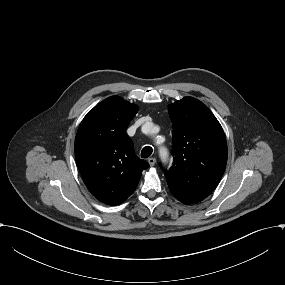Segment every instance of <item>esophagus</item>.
I'll return each instance as SVG.
<instances>
[{
    "instance_id": "1",
    "label": "esophagus",
    "mask_w": 285,
    "mask_h": 285,
    "mask_svg": "<svg viewBox=\"0 0 285 285\" xmlns=\"http://www.w3.org/2000/svg\"><path fill=\"white\" fill-rule=\"evenodd\" d=\"M148 163L150 164V166H154L155 163H156V159L151 157V158L148 159Z\"/></svg>"
}]
</instances>
